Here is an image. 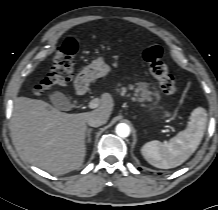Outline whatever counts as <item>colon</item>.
<instances>
[{"instance_id": "obj_1", "label": "colon", "mask_w": 218, "mask_h": 210, "mask_svg": "<svg viewBox=\"0 0 218 210\" xmlns=\"http://www.w3.org/2000/svg\"><path fill=\"white\" fill-rule=\"evenodd\" d=\"M76 51V43L71 39L60 46L51 73L35 88V95L40 96L45 91L70 81ZM162 57L163 49L158 44L147 47L143 52V58L148 63L151 74L158 80L161 90L167 95H173L177 90L175 79Z\"/></svg>"}]
</instances>
